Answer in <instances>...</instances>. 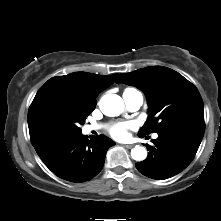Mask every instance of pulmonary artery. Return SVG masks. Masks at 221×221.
<instances>
[{
    "label": "pulmonary artery",
    "mask_w": 221,
    "mask_h": 221,
    "mask_svg": "<svg viewBox=\"0 0 221 221\" xmlns=\"http://www.w3.org/2000/svg\"><path fill=\"white\" fill-rule=\"evenodd\" d=\"M123 99H124V102H125L127 108L130 111H137L143 104V96L138 91L124 92ZM97 128H98V126L89 125L86 127V131L90 132L92 130H96ZM153 137L157 138V135L155 134Z\"/></svg>",
    "instance_id": "pulmonary-artery-1"
}]
</instances>
